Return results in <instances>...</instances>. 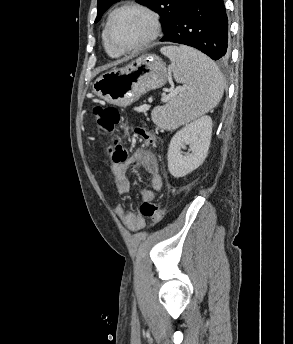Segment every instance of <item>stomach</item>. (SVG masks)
<instances>
[{
    "label": "stomach",
    "instance_id": "1",
    "mask_svg": "<svg viewBox=\"0 0 293 344\" xmlns=\"http://www.w3.org/2000/svg\"><path fill=\"white\" fill-rule=\"evenodd\" d=\"M169 70L156 55H142L125 67L106 72L94 84V93L108 103L126 107L150 90L162 87Z\"/></svg>",
    "mask_w": 293,
    "mask_h": 344
}]
</instances>
